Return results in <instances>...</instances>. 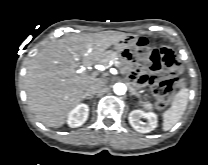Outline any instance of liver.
<instances>
[{"instance_id":"obj_1","label":"liver","mask_w":208,"mask_h":165,"mask_svg":"<svg viewBox=\"0 0 208 165\" xmlns=\"http://www.w3.org/2000/svg\"><path fill=\"white\" fill-rule=\"evenodd\" d=\"M126 36L118 31L76 34L42 49L31 60L25 81L28 104L36 118L48 127L64 125L98 75L78 74L80 60L86 67L101 62L105 50Z\"/></svg>"}]
</instances>
